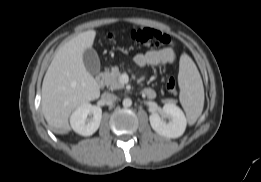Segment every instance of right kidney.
Masks as SVG:
<instances>
[{"label":"right kidney","mask_w":261,"mask_h":182,"mask_svg":"<svg viewBox=\"0 0 261 182\" xmlns=\"http://www.w3.org/2000/svg\"><path fill=\"white\" fill-rule=\"evenodd\" d=\"M90 114L93 115L92 118L87 119ZM101 119L102 109L90 103H85L72 113L70 124L76 133L82 136H90L98 130Z\"/></svg>","instance_id":"obj_1"}]
</instances>
